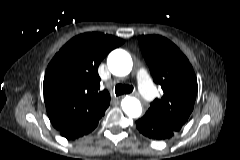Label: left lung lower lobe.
<instances>
[{
    "label": "left lung lower lobe",
    "mask_w": 240,
    "mask_h": 160,
    "mask_svg": "<svg viewBox=\"0 0 240 160\" xmlns=\"http://www.w3.org/2000/svg\"><path fill=\"white\" fill-rule=\"evenodd\" d=\"M136 125L141 134L153 140H167L177 133L161 123L149 110L136 121Z\"/></svg>",
    "instance_id": "left-lung-lower-lobe-1"
}]
</instances>
